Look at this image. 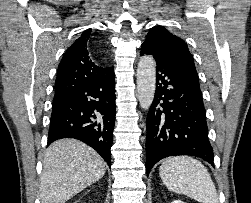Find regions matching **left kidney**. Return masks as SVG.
<instances>
[{
  "label": "left kidney",
  "instance_id": "left-kidney-1",
  "mask_svg": "<svg viewBox=\"0 0 251 203\" xmlns=\"http://www.w3.org/2000/svg\"><path fill=\"white\" fill-rule=\"evenodd\" d=\"M172 203H184V202L181 200H174Z\"/></svg>",
  "mask_w": 251,
  "mask_h": 203
}]
</instances>
